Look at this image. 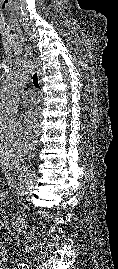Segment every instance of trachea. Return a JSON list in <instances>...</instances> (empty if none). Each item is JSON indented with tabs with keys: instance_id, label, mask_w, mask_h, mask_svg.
<instances>
[{
	"instance_id": "obj_1",
	"label": "trachea",
	"mask_w": 118,
	"mask_h": 269,
	"mask_svg": "<svg viewBox=\"0 0 118 269\" xmlns=\"http://www.w3.org/2000/svg\"><path fill=\"white\" fill-rule=\"evenodd\" d=\"M32 79H33L34 86H35L36 88H40V85H39V82H38V76H37V73H34V74H33Z\"/></svg>"
}]
</instances>
